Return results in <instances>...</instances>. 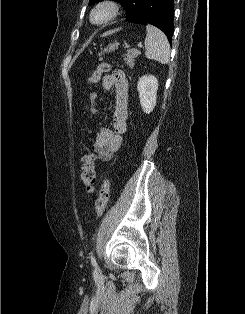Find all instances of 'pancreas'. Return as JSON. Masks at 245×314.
Wrapping results in <instances>:
<instances>
[{"label": "pancreas", "instance_id": "pancreas-1", "mask_svg": "<svg viewBox=\"0 0 245 314\" xmlns=\"http://www.w3.org/2000/svg\"><path fill=\"white\" fill-rule=\"evenodd\" d=\"M139 55H140V52L138 50H135V49L128 50L124 58V61L130 68H133L135 58Z\"/></svg>", "mask_w": 245, "mask_h": 314}]
</instances>
